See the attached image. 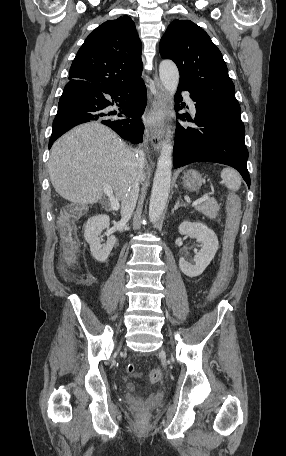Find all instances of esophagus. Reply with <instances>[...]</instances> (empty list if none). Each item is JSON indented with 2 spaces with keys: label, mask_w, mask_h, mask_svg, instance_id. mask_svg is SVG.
<instances>
[{
  "label": "esophagus",
  "mask_w": 286,
  "mask_h": 456,
  "mask_svg": "<svg viewBox=\"0 0 286 456\" xmlns=\"http://www.w3.org/2000/svg\"><path fill=\"white\" fill-rule=\"evenodd\" d=\"M154 80L157 89L156 97L150 103V114H154L158 110H163L166 107V100L167 96L160 83V80L156 74L154 73ZM149 137L151 145L153 146L156 152H159L162 146V138H163V123L159 124H150L149 125Z\"/></svg>",
  "instance_id": "obj_1"
}]
</instances>
